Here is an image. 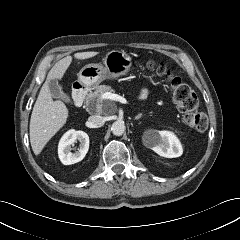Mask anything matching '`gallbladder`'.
<instances>
[{"label": "gallbladder", "instance_id": "bac80fb5", "mask_svg": "<svg viewBox=\"0 0 240 240\" xmlns=\"http://www.w3.org/2000/svg\"><path fill=\"white\" fill-rule=\"evenodd\" d=\"M48 87L53 98L59 99L65 103H71L70 97L65 92H63L56 79L50 80Z\"/></svg>", "mask_w": 240, "mask_h": 240}]
</instances>
